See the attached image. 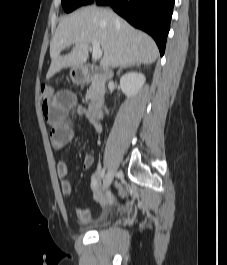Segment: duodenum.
I'll return each mask as SVG.
<instances>
[{
  "mask_svg": "<svg viewBox=\"0 0 227 265\" xmlns=\"http://www.w3.org/2000/svg\"><path fill=\"white\" fill-rule=\"evenodd\" d=\"M75 80L80 84H85L93 80L95 81L96 91L89 102L88 110L92 115L97 116L103 107L102 85L104 79L102 74L95 68L85 65L78 69Z\"/></svg>",
  "mask_w": 227,
  "mask_h": 265,
  "instance_id": "duodenum-1",
  "label": "duodenum"
}]
</instances>
